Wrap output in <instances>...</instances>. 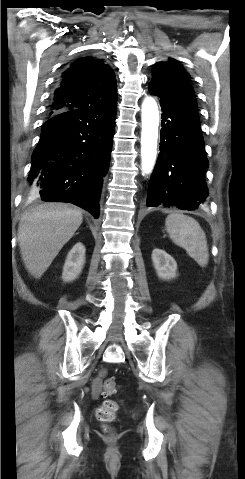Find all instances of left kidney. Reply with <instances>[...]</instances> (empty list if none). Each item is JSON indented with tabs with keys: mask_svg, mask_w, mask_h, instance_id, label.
Segmentation results:
<instances>
[{
	"mask_svg": "<svg viewBox=\"0 0 245 479\" xmlns=\"http://www.w3.org/2000/svg\"><path fill=\"white\" fill-rule=\"evenodd\" d=\"M152 261L159 278L169 280L176 277L177 263L174 258L164 250L154 249L152 252Z\"/></svg>",
	"mask_w": 245,
	"mask_h": 479,
	"instance_id": "5707ae66",
	"label": "left kidney"
}]
</instances>
